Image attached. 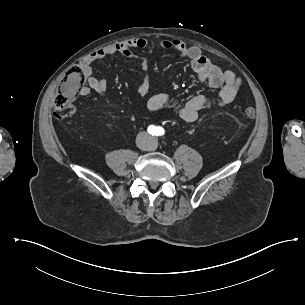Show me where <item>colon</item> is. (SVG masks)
<instances>
[{
    "label": "colon",
    "instance_id": "colon-1",
    "mask_svg": "<svg viewBox=\"0 0 305 305\" xmlns=\"http://www.w3.org/2000/svg\"><path fill=\"white\" fill-rule=\"evenodd\" d=\"M85 80L84 71L78 66L68 67L57 84V95L53 100L55 109H65L77 95L78 90ZM255 111L252 107H247L244 110V115L247 118H252Z\"/></svg>",
    "mask_w": 305,
    "mask_h": 305
}]
</instances>
